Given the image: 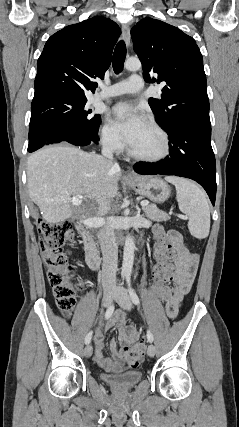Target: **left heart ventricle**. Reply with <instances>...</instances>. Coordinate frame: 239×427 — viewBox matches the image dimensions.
I'll list each match as a JSON object with an SVG mask.
<instances>
[{
	"label": "left heart ventricle",
	"mask_w": 239,
	"mask_h": 427,
	"mask_svg": "<svg viewBox=\"0 0 239 427\" xmlns=\"http://www.w3.org/2000/svg\"><path fill=\"white\" fill-rule=\"evenodd\" d=\"M129 146L138 154L155 156L163 149V139L161 135L145 121Z\"/></svg>",
	"instance_id": "left-heart-ventricle-1"
}]
</instances>
